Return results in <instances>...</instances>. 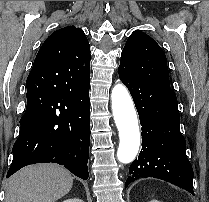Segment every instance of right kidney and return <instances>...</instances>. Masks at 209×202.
I'll list each match as a JSON object with an SVG mask.
<instances>
[{
  "label": "right kidney",
  "mask_w": 209,
  "mask_h": 202,
  "mask_svg": "<svg viewBox=\"0 0 209 202\" xmlns=\"http://www.w3.org/2000/svg\"><path fill=\"white\" fill-rule=\"evenodd\" d=\"M63 202H84V201L78 198H71V199L64 200Z\"/></svg>",
  "instance_id": "obj_1"
}]
</instances>
